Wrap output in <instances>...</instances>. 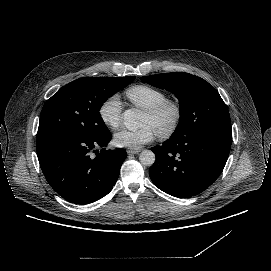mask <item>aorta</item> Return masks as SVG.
Masks as SVG:
<instances>
[{
    "instance_id": "obj_1",
    "label": "aorta",
    "mask_w": 271,
    "mask_h": 271,
    "mask_svg": "<svg viewBox=\"0 0 271 271\" xmlns=\"http://www.w3.org/2000/svg\"><path fill=\"white\" fill-rule=\"evenodd\" d=\"M143 114L139 109H127L123 113L124 125L130 131H136L142 127ZM140 163L144 166H152L156 160L155 154L150 150H144L139 155Z\"/></svg>"
}]
</instances>
